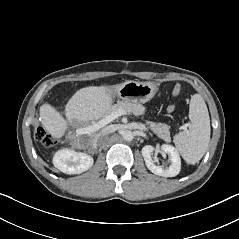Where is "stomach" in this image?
I'll use <instances>...</instances> for the list:
<instances>
[{
    "label": "stomach",
    "instance_id": "obj_1",
    "mask_svg": "<svg viewBox=\"0 0 239 239\" xmlns=\"http://www.w3.org/2000/svg\"><path fill=\"white\" fill-rule=\"evenodd\" d=\"M110 92L124 102L146 103L155 96L157 86L152 82L125 81L112 86Z\"/></svg>",
    "mask_w": 239,
    "mask_h": 239
}]
</instances>
